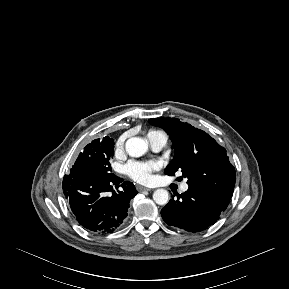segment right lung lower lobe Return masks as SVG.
Returning <instances> with one entry per match:
<instances>
[{
	"label": "right lung lower lobe",
	"instance_id": "right-lung-lower-lobe-1",
	"mask_svg": "<svg viewBox=\"0 0 289 289\" xmlns=\"http://www.w3.org/2000/svg\"><path fill=\"white\" fill-rule=\"evenodd\" d=\"M121 182L123 179L114 174L96 178L75 169L64 176V194L82 227L96 233H112L123 222L137 191L129 181L121 185L123 190L115 191L113 186L117 189Z\"/></svg>",
	"mask_w": 289,
	"mask_h": 289
}]
</instances>
